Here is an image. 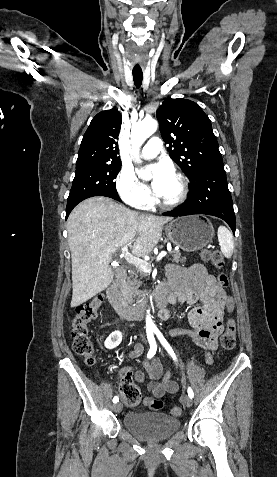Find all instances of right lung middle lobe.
Instances as JSON below:
<instances>
[{"label": "right lung middle lobe", "mask_w": 277, "mask_h": 477, "mask_svg": "<svg viewBox=\"0 0 277 477\" xmlns=\"http://www.w3.org/2000/svg\"><path fill=\"white\" fill-rule=\"evenodd\" d=\"M120 169L121 163L93 164L76 168L66 212L71 211L78 203L89 197H119L113 180Z\"/></svg>", "instance_id": "right-lung-middle-lobe-1"}]
</instances>
